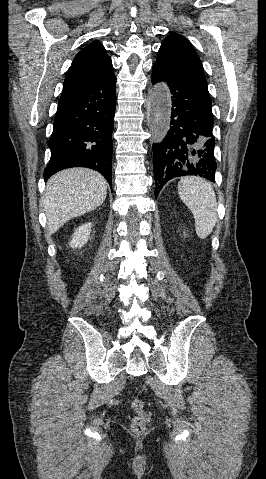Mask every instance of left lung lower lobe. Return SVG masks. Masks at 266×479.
<instances>
[{"label":"left lung lower lobe","instance_id":"1","mask_svg":"<svg viewBox=\"0 0 266 479\" xmlns=\"http://www.w3.org/2000/svg\"><path fill=\"white\" fill-rule=\"evenodd\" d=\"M165 82L172 94L171 128L160 144L153 145L155 198L171 179L199 175L215 182L217 169L213 116L209 93L179 79L157 64L152 84Z\"/></svg>","mask_w":266,"mask_h":479}]
</instances>
